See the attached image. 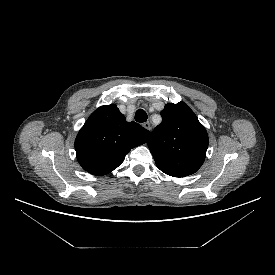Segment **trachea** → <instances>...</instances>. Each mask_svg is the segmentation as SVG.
Masks as SVG:
<instances>
[{
    "instance_id": "trachea-1",
    "label": "trachea",
    "mask_w": 275,
    "mask_h": 275,
    "mask_svg": "<svg viewBox=\"0 0 275 275\" xmlns=\"http://www.w3.org/2000/svg\"><path fill=\"white\" fill-rule=\"evenodd\" d=\"M135 120L139 123L147 121V113L143 109H138L135 113Z\"/></svg>"
}]
</instances>
